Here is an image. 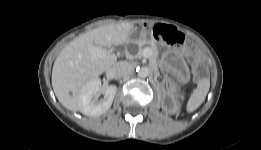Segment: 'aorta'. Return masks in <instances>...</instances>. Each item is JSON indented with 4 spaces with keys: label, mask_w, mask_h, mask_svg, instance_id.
<instances>
[{
    "label": "aorta",
    "mask_w": 261,
    "mask_h": 150,
    "mask_svg": "<svg viewBox=\"0 0 261 150\" xmlns=\"http://www.w3.org/2000/svg\"><path fill=\"white\" fill-rule=\"evenodd\" d=\"M151 74V69L147 67H141L138 70V76L141 78H146Z\"/></svg>",
    "instance_id": "aorta-1"
}]
</instances>
